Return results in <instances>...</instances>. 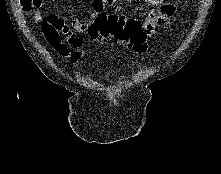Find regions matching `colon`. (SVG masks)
<instances>
[{"instance_id":"5ec220e1","label":"colon","mask_w":221,"mask_h":174,"mask_svg":"<svg viewBox=\"0 0 221 174\" xmlns=\"http://www.w3.org/2000/svg\"><path fill=\"white\" fill-rule=\"evenodd\" d=\"M41 2L42 0H20L22 9L27 13L35 11ZM88 34L97 40L113 39L126 43L137 54H144L148 50V36L143 24L137 19L125 20L118 16L101 14L89 27Z\"/></svg>"}]
</instances>
